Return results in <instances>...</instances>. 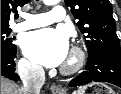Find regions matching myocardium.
I'll list each match as a JSON object with an SVG mask.
<instances>
[{
	"label": "myocardium",
	"mask_w": 121,
	"mask_h": 94,
	"mask_svg": "<svg viewBox=\"0 0 121 94\" xmlns=\"http://www.w3.org/2000/svg\"><path fill=\"white\" fill-rule=\"evenodd\" d=\"M84 62V51L80 47L74 46L70 51L69 60L61 67V72L65 75L74 74L83 67Z\"/></svg>",
	"instance_id": "1"
}]
</instances>
